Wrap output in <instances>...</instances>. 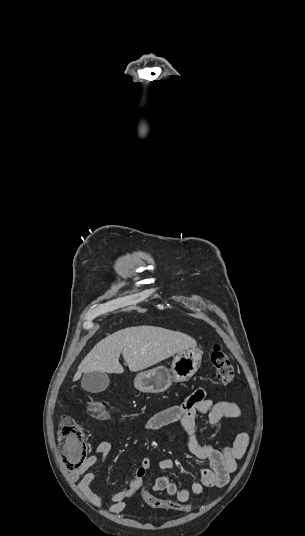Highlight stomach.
<instances>
[{"instance_id":"obj_1","label":"stomach","mask_w":305,"mask_h":536,"mask_svg":"<svg viewBox=\"0 0 305 536\" xmlns=\"http://www.w3.org/2000/svg\"><path fill=\"white\" fill-rule=\"evenodd\" d=\"M202 350L188 348L175 356L171 370L158 366L148 372H140L134 378V386L139 392L159 394L170 388L172 382H188L201 366Z\"/></svg>"}]
</instances>
